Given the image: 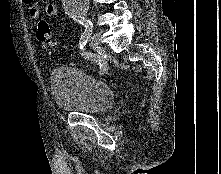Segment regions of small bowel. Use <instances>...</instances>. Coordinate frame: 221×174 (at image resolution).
Here are the masks:
<instances>
[{"label":"small bowel","instance_id":"c3829d8e","mask_svg":"<svg viewBox=\"0 0 221 174\" xmlns=\"http://www.w3.org/2000/svg\"><path fill=\"white\" fill-rule=\"evenodd\" d=\"M24 3L27 5L28 14L32 18H39L40 17V10L39 8L34 4V0H23ZM45 12L49 16H53L57 14L58 7L55 3H49L45 7Z\"/></svg>","mask_w":221,"mask_h":174}]
</instances>
